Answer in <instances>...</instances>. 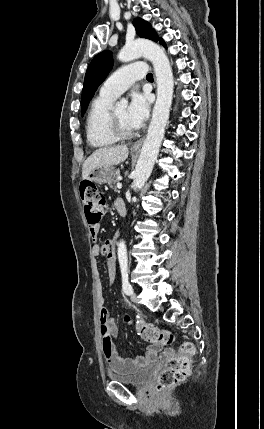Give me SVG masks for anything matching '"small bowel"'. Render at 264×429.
<instances>
[{"mask_svg":"<svg viewBox=\"0 0 264 429\" xmlns=\"http://www.w3.org/2000/svg\"><path fill=\"white\" fill-rule=\"evenodd\" d=\"M123 202L118 199L114 202L116 208L118 203ZM92 237H96L98 228L91 227L90 229ZM118 237V235L116 236ZM92 255L97 258L100 255H105L107 258L106 268L108 274V280L113 283L116 276V263L113 260L115 254V241L107 240L102 244L95 243L92 246ZM97 301L99 305V315L101 324V336L103 353L112 371L120 374L132 373L138 369L151 365L158 360V355L161 350V346L151 344L147 347L146 352L143 355L137 356L136 358L122 357L118 354L113 339L118 334V325L116 321L109 316V313L104 306V294L102 286L99 282L97 290ZM171 352L166 351L165 356L170 355Z\"/></svg>","mask_w":264,"mask_h":429,"instance_id":"small-bowel-1","label":"small bowel"}]
</instances>
